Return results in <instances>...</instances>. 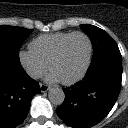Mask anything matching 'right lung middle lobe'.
<instances>
[{"label":"right lung middle lobe","instance_id":"obj_1","mask_svg":"<svg viewBox=\"0 0 128 128\" xmlns=\"http://www.w3.org/2000/svg\"><path fill=\"white\" fill-rule=\"evenodd\" d=\"M32 31L22 27L0 25V60L21 66L19 49Z\"/></svg>","mask_w":128,"mask_h":128}]
</instances>
